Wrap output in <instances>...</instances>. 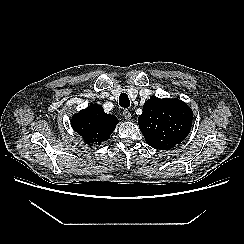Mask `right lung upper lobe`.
Instances as JSON below:
<instances>
[{"label":"right lung upper lobe","instance_id":"cb5924a9","mask_svg":"<svg viewBox=\"0 0 244 244\" xmlns=\"http://www.w3.org/2000/svg\"><path fill=\"white\" fill-rule=\"evenodd\" d=\"M118 119L106 114L98 104H92L72 118V127L86 143L100 144L107 141L114 131Z\"/></svg>","mask_w":244,"mask_h":244}]
</instances>
